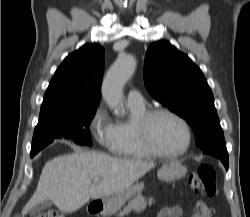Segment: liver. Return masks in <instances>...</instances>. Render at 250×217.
I'll use <instances>...</instances> for the list:
<instances>
[{
	"label": "liver",
	"mask_w": 250,
	"mask_h": 217,
	"mask_svg": "<svg viewBox=\"0 0 250 217\" xmlns=\"http://www.w3.org/2000/svg\"><path fill=\"white\" fill-rule=\"evenodd\" d=\"M153 167V163L143 160L97 152L79 151L55 157L43 167L36 191L22 213L49 200L61 212L72 213L90 198L109 197L128 189ZM94 178L99 179L97 184L92 183Z\"/></svg>",
	"instance_id": "liver-1"
}]
</instances>
